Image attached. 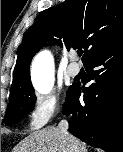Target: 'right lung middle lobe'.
Listing matches in <instances>:
<instances>
[{"instance_id":"1","label":"right lung middle lobe","mask_w":123,"mask_h":152,"mask_svg":"<svg viewBox=\"0 0 123 152\" xmlns=\"http://www.w3.org/2000/svg\"><path fill=\"white\" fill-rule=\"evenodd\" d=\"M73 87L74 85L70 86L67 95ZM35 100L36 97L32 84H28L23 88L18 89L15 93L10 95L9 106L5 114L4 122L7 125L19 122L34 108Z\"/></svg>"}]
</instances>
